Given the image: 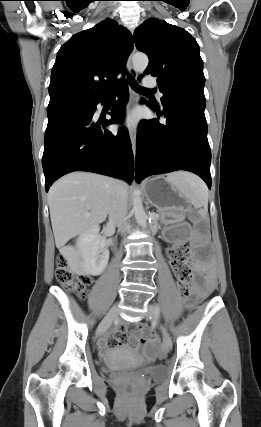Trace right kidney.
Returning a JSON list of instances; mask_svg holds the SVG:
<instances>
[{
	"instance_id": "right-kidney-1",
	"label": "right kidney",
	"mask_w": 261,
	"mask_h": 427,
	"mask_svg": "<svg viewBox=\"0 0 261 427\" xmlns=\"http://www.w3.org/2000/svg\"><path fill=\"white\" fill-rule=\"evenodd\" d=\"M99 230V226L93 227L81 233L77 239L83 271L93 276L103 273L109 260L107 241Z\"/></svg>"
}]
</instances>
